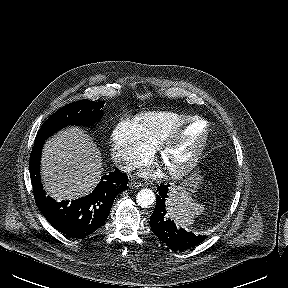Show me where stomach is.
I'll return each mask as SVG.
<instances>
[{
    "instance_id": "1",
    "label": "stomach",
    "mask_w": 288,
    "mask_h": 288,
    "mask_svg": "<svg viewBox=\"0 0 288 288\" xmlns=\"http://www.w3.org/2000/svg\"><path fill=\"white\" fill-rule=\"evenodd\" d=\"M203 181V175L200 170H195L189 174V176L185 177L182 182L173 187V189L177 193H184L189 196L193 195L199 189L200 185Z\"/></svg>"
}]
</instances>
